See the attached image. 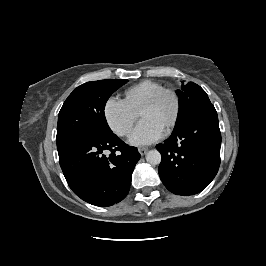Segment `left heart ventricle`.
Segmentation results:
<instances>
[{
	"mask_svg": "<svg viewBox=\"0 0 266 266\" xmlns=\"http://www.w3.org/2000/svg\"><path fill=\"white\" fill-rule=\"evenodd\" d=\"M175 103L171 95H164L155 105L141 112L142 119H152L163 128L166 127L174 113Z\"/></svg>",
	"mask_w": 266,
	"mask_h": 266,
	"instance_id": "b2bd125f",
	"label": "left heart ventricle"
}]
</instances>
